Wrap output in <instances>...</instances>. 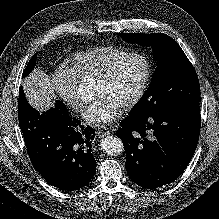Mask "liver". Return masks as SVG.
Returning a JSON list of instances; mask_svg holds the SVG:
<instances>
[{"mask_svg":"<svg viewBox=\"0 0 219 219\" xmlns=\"http://www.w3.org/2000/svg\"><path fill=\"white\" fill-rule=\"evenodd\" d=\"M28 102L40 113L54 106L56 95L50 77L37 68L22 83Z\"/></svg>","mask_w":219,"mask_h":219,"instance_id":"obj_1","label":"liver"}]
</instances>
